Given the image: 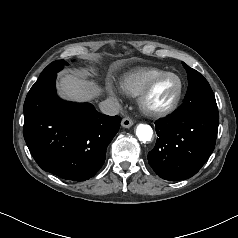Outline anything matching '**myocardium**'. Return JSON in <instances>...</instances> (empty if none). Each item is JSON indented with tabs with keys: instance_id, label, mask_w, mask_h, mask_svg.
I'll list each match as a JSON object with an SVG mask.
<instances>
[{
	"instance_id": "f54148a6",
	"label": "myocardium",
	"mask_w": 238,
	"mask_h": 238,
	"mask_svg": "<svg viewBox=\"0 0 238 238\" xmlns=\"http://www.w3.org/2000/svg\"><path fill=\"white\" fill-rule=\"evenodd\" d=\"M168 76H173V77L177 78V80L179 82V88H178V91H177L175 97L172 99V101L170 103H168L165 106H162V107L150 106L149 105V97L152 94L154 87L161 79L168 77ZM183 92H184V81H183L182 77L177 73L165 71V72L157 75L156 77H154L148 83V85L144 88V90L140 93V95L138 96V101H137L139 109L141 110V112L144 115H146L148 117H152V118L165 117V116L173 113L177 109V107L179 106V103L182 99Z\"/></svg>"
}]
</instances>
